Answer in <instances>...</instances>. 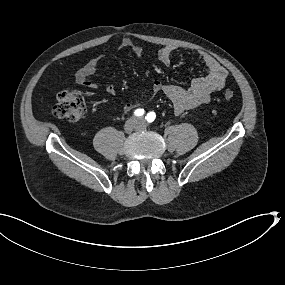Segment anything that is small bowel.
Listing matches in <instances>:
<instances>
[{"label": "small bowel", "mask_w": 285, "mask_h": 285, "mask_svg": "<svg viewBox=\"0 0 285 285\" xmlns=\"http://www.w3.org/2000/svg\"><path fill=\"white\" fill-rule=\"evenodd\" d=\"M119 46L122 49L132 50L138 57H142L144 54L143 48L135 44L129 37L122 38ZM175 50L176 49L173 46L160 48L157 51L158 60L165 65H169ZM199 56L208 72L205 76L194 78L189 87L184 88L173 84L165 85L157 81L153 84V92L164 94L172 102L176 114H181L187 110L208 103L212 93L222 89L225 85L227 78L226 69L214 57L205 52H199ZM97 67V59L89 60L76 73V82L91 90L100 88L101 85L98 82L89 80V77L96 72ZM104 88L109 95H114L116 93V88L112 83L106 84ZM134 107V104L127 103L124 105L123 109L124 111H129Z\"/></svg>", "instance_id": "c3829d8e"}]
</instances>
